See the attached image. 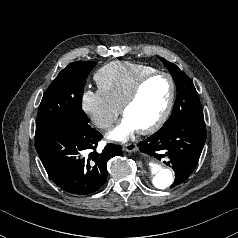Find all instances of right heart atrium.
<instances>
[{
	"instance_id": "d8ad5b80",
	"label": "right heart atrium",
	"mask_w": 238,
	"mask_h": 238,
	"mask_svg": "<svg viewBox=\"0 0 238 238\" xmlns=\"http://www.w3.org/2000/svg\"><path fill=\"white\" fill-rule=\"evenodd\" d=\"M82 109L92 123L102 130L110 128L119 114V108L113 105L99 89H88L83 93Z\"/></svg>"
}]
</instances>
